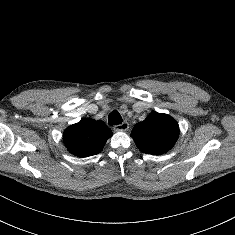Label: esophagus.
<instances>
[{
	"label": "esophagus",
	"mask_w": 235,
	"mask_h": 235,
	"mask_svg": "<svg viewBox=\"0 0 235 235\" xmlns=\"http://www.w3.org/2000/svg\"><path fill=\"white\" fill-rule=\"evenodd\" d=\"M129 128L128 122L124 121L122 124H118L114 126L115 131H127Z\"/></svg>",
	"instance_id": "1"
}]
</instances>
